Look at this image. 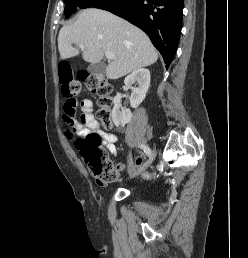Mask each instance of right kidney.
<instances>
[{
  "label": "right kidney",
  "mask_w": 248,
  "mask_h": 258,
  "mask_svg": "<svg viewBox=\"0 0 248 258\" xmlns=\"http://www.w3.org/2000/svg\"><path fill=\"white\" fill-rule=\"evenodd\" d=\"M134 82L138 83V87H132ZM124 83L132 89L130 96V105L137 108L146 97V93L150 86V71L140 68L128 75ZM121 94H117L114 98V107L112 110V120L116 127H124L132 119V113L129 109H123L120 104Z\"/></svg>",
  "instance_id": "right-kidney-1"
}]
</instances>
